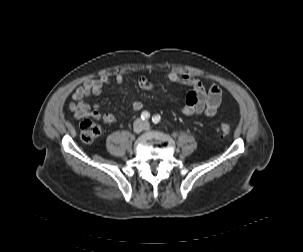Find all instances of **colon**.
<instances>
[{
    "mask_svg": "<svg viewBox=\"0 0 303 252\" xmlns=\"http://www.w3.org/2000/svg\"><path fill=\"white\" fill-rule=\"evenodd\" d=\"M219 132L223 136H228L231 132V128L227 123H221L219 125ZM101 135V128L98 124L86 120L81 124V139L86 143L94 142Z\"/></svg>",
    "mask_w": 303,
    "mask_h": 252,
    "instance_id": "1",
    "label": "colon"
}]
</instances>
